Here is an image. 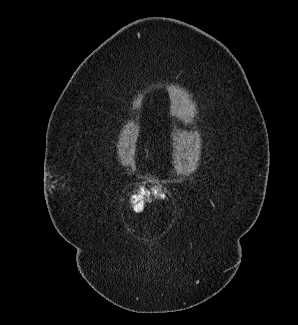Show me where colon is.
<instances>
[{"mask_svg": "<svg viewBox=\"0 0 298 325\" xmlns=\"http://www.w3.org/2000/svg\"><path fill=\"white\" fill-rule=\"evenodd\" d=\"M152 197L164 198V188L161 185H156L151 188L145 185L137 186L132 195V204L135 211L142 212L145 209L148 200Z\"/></svg>", "mask_w": 298, "mask_h": 325, "instance_id": "colon-1", "label": "colon"}]
</instances>
